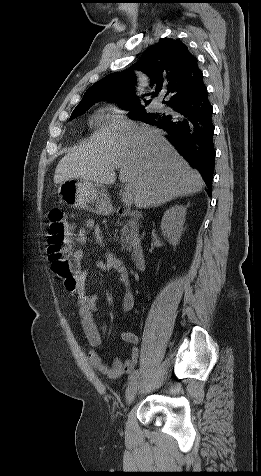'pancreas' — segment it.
Returning <instances> with one entry per match:
<instances>
[{
    "mask_svg": "<svg viewBox=\"0 0 261 476\" xmlns=\"http://www.w3.org/2000/svg\"><path fill=\"white\" fill-rule=\"evenodd\" d=\"M139 234L137 223L129 219L123 225L121 229V244L122 249L131 252L132 247H135L139 243Z\"/></svg>",
    "mask_w": 261,
    "mask_h": 476,
    "instance_id": "1",
    "label": "pancreas"
}]
</instances>
